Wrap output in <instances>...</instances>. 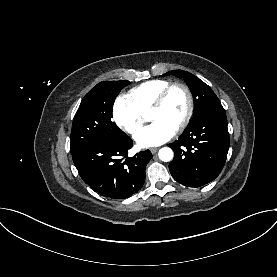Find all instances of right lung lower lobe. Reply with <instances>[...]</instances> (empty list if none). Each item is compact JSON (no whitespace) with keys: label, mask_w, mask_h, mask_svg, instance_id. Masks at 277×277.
<instances>
[{"label":"right lung lower lobe","mask_w":277,"mask_h":277,"mask_svg":"<svg viewBox=\"0 0 277 277\" xmlns=\"http://www.w3.org/2000/svg\"><path fill=\"white\" fill-rule=\"evenodd\" d=\"M130 137L122 140L101 139L72 152L80 177L95 192L112 199H122L140 190L145 181V168L152 158L149 150L133 157Z\"/></svg>","instance_id":"obj_1"}]
</instances>
